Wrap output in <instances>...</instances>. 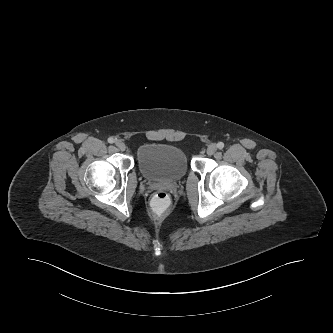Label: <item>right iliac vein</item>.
<instances>
[{
  "instance_id": "right-iliac-vein-1",
  "label": "right iliac vein",
  "mask_w": 333,
  "mask_h": 333,
  "mask_svg": "<svg viewBox=\"0 0 333 333\" xmlns=\"http://www.w3.org/2000/svg\"><path fill=\"white\" fill-rule=\"evenodd\" d=\"M115 146L121 151H124L126 149L125 143L121 140H116L115 141Z\"/></svg>"
}]
</instances>
